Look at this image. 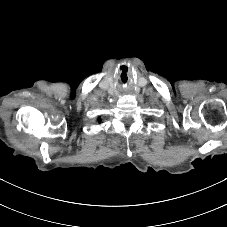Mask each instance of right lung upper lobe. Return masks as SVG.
Wrapping results in <instances>:
<instances>
[{"label": "right lung upper lobe", "instance_id": "obj_1", "mask_svg": "<svg viewBox=\"0 0 227 227\" xmlns=\"http://www.w3.org/2000/svg\"><path fill=\"white\" fill-rule=\"evenodd\" d=\"M98 122H99V123L101 122V119H100V118H98Z\"/></svg>", "mask_w": 227, "mask_h": 227}]
</instances>
